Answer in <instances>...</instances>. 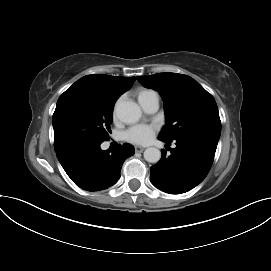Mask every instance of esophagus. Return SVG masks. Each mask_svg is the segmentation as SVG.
<instances>
[{
    "label": "esophagus",
    "instance_id": "34e87169",
    "mask_svg": "<svg viewBox=\"0 0 271 271\" xmlns=\"http://www.w3.org/2000/svg\"><path fill=\"white\" fill-rule=\"evenodd\" d=\"M144 147H142V146H135V152H137V153H141V152H143L144 151Z\"/></svg>",
    "mask_w": 271,
    "mask_h": 271
}]
</instances>
